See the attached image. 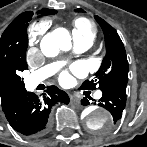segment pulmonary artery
<instances>
[{
  "instance_id": "e3ab8cb5",
  "label": "pulmonary artery",
  "mask_w": 147,
  "mask_h": 147,
  "mask_svg": "<svg viewBox=\"0 0 147 147\" xmlns=\"http://www.w3.org/2000/svg\"><path fill=\"white\" fill-rule=\"evenodd\" d=\"M91 46V43L86 40H80L74 38V49L76 52H83L86 51ZM59 66L58 63L47 65L36 72L32 73L27 79V85L29 88H33L42 81H44L47 77L55 72L57 67ZM102 96V92L98 91L95 94L96 98H100Z\"/></svg>"
}]
</instances>
